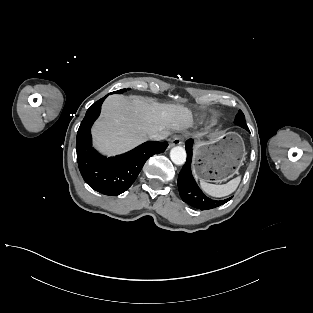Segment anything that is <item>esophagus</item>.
<instances>
[{"label": "esophagus", "mask_w": 313, "mask_h": 313, "mask_svg": "<svg viewBox=\"0 0 313 313\" xmlns=\"http://www.w3.org/2000/svg\"><path fill=\"white\" fill-rule=\"evenodd\" d=\"M181 143H182L181 137L176 136L172 138L170 142V146L172 147V146L180 145Z\"/></svg>", "instance_id": "obj_1"}]
</instances>
